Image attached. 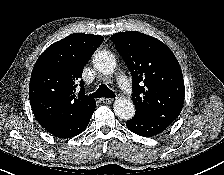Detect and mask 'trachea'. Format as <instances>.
Returning <instances> with one entry per match:
<instances>
[{
    "mask_svg": "<svg viewBox=\"0 0 224 175\" xmlns=\"http://www.w3.org/2000/svg\"><path fill=\"white\" fill-rule=\"evenodd\" d=\"M90 96L94 98H115V94L111 90H109L105 85H100L96 92L90 94Z\"/></svg>",
    "mask_w": 224,
    "mask_h": 175,
    "instance_id": "3493384b",
    "label": "trachea"
}]
</instances>
